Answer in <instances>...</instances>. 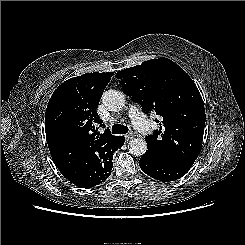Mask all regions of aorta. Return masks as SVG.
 <instances>
[{"label":"aorta","mask_w":245,"mask_h":245,"mask_svg":"<svg viewBox=\"0 0 245 245\" xmlns=\"http://www.w3.org/2000/svg\"><path fill=\"white\" fill-rule=\"evenodd\" d=\"M102 102L109 111H119L125 105V96L118 90H107L102 95ZM129 152L135 156H142L147 151V143L142 138H135L128 143Z\"/></svg>","instance_id":"obj_1"}]
</instances>
